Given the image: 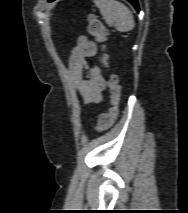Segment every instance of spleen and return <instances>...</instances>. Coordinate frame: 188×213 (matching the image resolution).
<instances>
[{"label": "spleen", "instance_id": "obj_1", "mask_svg": "<svg viewBox=\"0 0 188 213\" xmlns=\"http://www.w3.org/2000/svg\"><path fill=\"white\" fill-rule=\"evenodd\" d=\"M105 22L120 32L131 31L135 27L133 14L128 7L116 0H93Z\"/></svg>", "mask_w": 188, "mask_h": 213}]
</instances>
